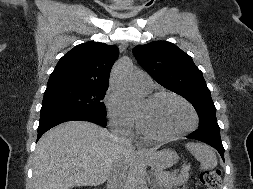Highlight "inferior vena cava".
I'll use <instances>...</instances> for the list:
<instances>
[{"label":"inferior vena cava","mask_w":253,"mask_h":189,"mask_svg":"<svg viewBox=\"0 0 253 189\" xmlns=\"http://www.w3.org/2000/svg\"><path fill=\"white\" fill-rule=\"evenodd\" d=\"M112 136L121 151H132V142L123 131L113 130ZM121 154H116V159H121ZM127 167L128 166H126L123 162H116L111 166L108 173L107 189H123L127 175Z\"/></svg>","instance_id":"inferior-vena-cava-1"}]
</instances>
